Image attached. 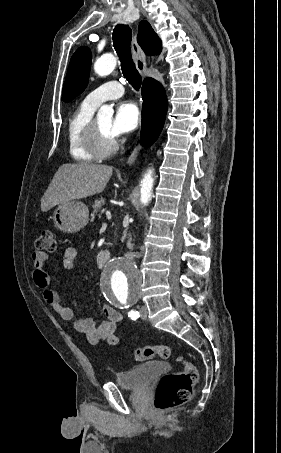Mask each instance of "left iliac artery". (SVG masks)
<instances>
[{
  "label": "left iliac artery",
  "mask_w": 281,
  "mask_h": 453,
  "mask_svg": "<svg viewBox=\"0 0 281 453\" xmlns=\"http://www.w3.org/2000/svg\"><path fill=\"white\" fill-rule=\"evenodd\" d=\"M128 317H130L132 320H136L138 317H140V315L138 311L131 310V312L128 313Z\"/></svg>",
  "instance_id": "left-iliac-artery-1"
}]
</instances>
